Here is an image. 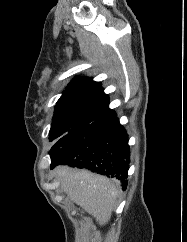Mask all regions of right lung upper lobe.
<instances>
[{
	"label": "right lung upper lobe",
	"instance_id": "right-lung-upper-lobe-1",
	"mask_svg": "<svg viewBox=\"0 0 187 242\" xmlns=\"http://www.w3.org/2000/svg\"><path fill=\"white\" fill-rule=\"evenodd\" d=\"M103 90L100 83L92 78L77 76L68 84L55 108L85 105L106 109L109 106V97Z\"/></svg>",
	"mask_w": 187,
	"mask_h": 242
}]
</instances>
